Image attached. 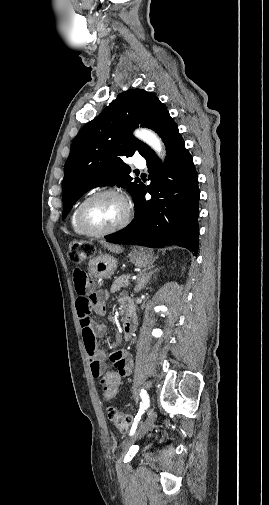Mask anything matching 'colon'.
<instances>
[{
	"label": "colon",
	"instance_id": "1",
	"mask_svg": "<svg viewBox=\"0 0 269 505\" xmlns=\"http://www.w3.org/2000/svg\"><path fill=\"white\" fill-rule=\"evenodd\" d=\"M69 256L73 263L80 264L91 256V248L88 245L81 244L79 242H72L70 244ZM120 380L119 375L115 371H109L101 377L100 385L105 398L111 399L116 395ZM107 415L110 422L117 430L123 433L127 431L131 423V416L129 414L124 413L115 407H109Z\"/></svg>",
	"mask_w": 269,
	"mask_h": 505
}]
</instances>
